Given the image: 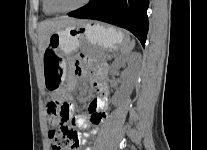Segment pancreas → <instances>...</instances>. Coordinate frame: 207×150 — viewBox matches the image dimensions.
Wrapping results in <instances>:
<instances>
[{"instance_id":"1","label":"pancreas","mask_w":207,"mask_h":150,"mask_svg":"<svg viewBox=\"0 0 207 150\" xmlns=\"http://www.w3.org/2000/svg\"><path fill=\"white\" fill-rule=\"evenodd\" d=\"M107 59V54L104 55V57L102 58L103 61H105Z\"/></svg>"}]
</instances>
